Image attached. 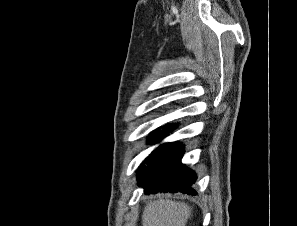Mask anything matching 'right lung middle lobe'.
<instances>
[{"instance_id": "1", "label": "right lung middle lobe", "mask_w": 297, "mask_h": 226, "mask_svg": "<svg viewBox=\"0 0 297 226\" xmlns=\"http://www.w3.org/2000/svg\"><path fill=\"white\" fill-rule=\"evenodd\" d=\"M160 131V129H157L156 131H154L151 136L149 137V141L148 143H151V141H154L155 138L157 137V133Z\"/></svg>"}]
</instances>
